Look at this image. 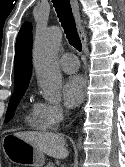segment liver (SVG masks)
Returning <instances> with one entry per match:
<instances>
[{
	"mask_svg": "<svg viewBox=\"0 0 125 167\" xmlns=\"http://www.w3.org/2000/svg\"><path fill=\"white\" fill-rule=\"evenodd\" d=\"M14 135L53 158L64 159L68 156V150L65 148V139L62 134L27 131L16 132Z\"/></svg>",
	"mask_w": 125,
	"mask_h": 167,
	"instance_id": "obj_1",
	"label": "liver"
}]
</instances>
